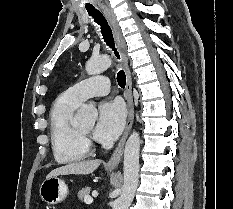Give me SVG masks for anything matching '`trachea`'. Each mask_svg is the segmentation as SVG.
I'll return each mask as SVG.
<instances>
[{
    "instance_id": "obj_1",
    "label": "trachea",
    "mask_w": 233,
    "mask_h": 209,
    "mask_svg": "<svg viewBox=\"0 0 233 209\" xmlns=\"http://www.w3.org/2000/svg\"><path fill=\"white\" fill-rule=\"evenodd\" d=\"M86 10L88 11V14L94 18V21L100 25V29H101V34L103 36V39L105 41V43L112 48V50L114 51L115 56L120 59L119 53L117 52V49L115 48V43H114V39H113V34H112V30L107 22V20L104 18L103 14L99 11L96 10L93 6H86ZM117 82L118 85L121 88H125L126 85V75L125 72L123 70H120L117 73Z\"/></svg>"
}]
</instances>
